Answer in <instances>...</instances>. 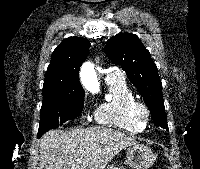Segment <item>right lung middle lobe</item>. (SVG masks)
Returning a JSON list of instances; mask_svg holds the SVG:
<instances>
[{"label": "right lung middle lobe", "instance_id": "obj_1", "mask_svg": "<svg viewBox=\"0 0 200 169\" xmlns=\"http://www.w3.org/2000/svg\"><path fill=\"white\" fill-rule=\"evenodd\" d=\"M84 92L44 98L41 107V119L38 137L50 129L58 128L62 123L74 119L83 109Z\"/></svg>", "mask_w": 200, "mask_h": 169}]
</instances>
